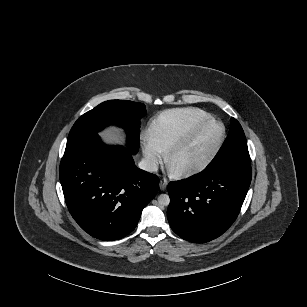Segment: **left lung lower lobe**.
<instances>
[{"instance_id":"obj_1","label":"left lung lower lobe","mask_w":307,"mask_h":307,"mask_svg":"<svg viewBox=\"0 0 307 307\" xmlns=\"http://www.w3.org/2000/svg\"><path fill=\"white\" fill-rule=\"evenodd\" d=\"M251 176L250 165L226 163L171 182L167 217L172 230L194 243L219 237L237 218Z\"/></svg>"}]
</instances>
